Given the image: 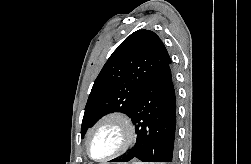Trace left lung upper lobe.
Wrapping results in <instances>:
<instances>
[{"instance_id":"obj_1","label":"left lung upper lobe","mask_w":251,"mask_h":164,"mask_svg":"<svg viewBox=\"0 0 251 164\" xmlns=\"http://www.w3.org/2000/svg\"><path fill=\"white\" fill-rule=\"evenodd\" d=\"M169 54L160 38L150 30L128 36L112 53L89 95L81 135L99 117L109 112L130 116L145 86L168 64Z\"/></svg>"}]
</instances>
